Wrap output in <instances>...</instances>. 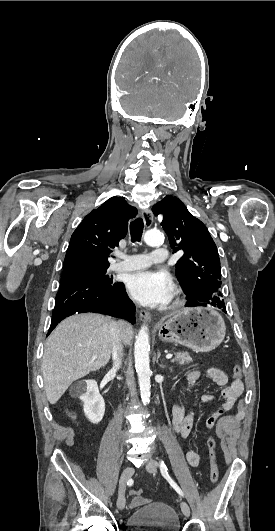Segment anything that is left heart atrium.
<instances>
[{"mask_svg":"<svg viewBox=\"0 0 275 531\" xmlns=\"http://www.w3.org/2000/svg\"><path fill=\"white\" fill-rule=\"evenodd\" d=\"M126 286L130 295L148 306L165 304L172 290V280L163 270L144 268L129 274Z\"/></svg>","mask_w":275,"mask_h":531,"instance_id":"obj_1","label":"left heart atrium"}]
</instances>
